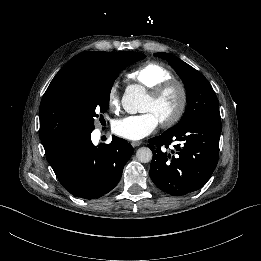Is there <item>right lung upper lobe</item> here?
I'll use <instances>...</instances> for the list:
<instances>
[{"label": "right lung upper lobe", "instance_id": "right-lung-upper-lobe-1", "mask_svg": "<svg viewBox=\"0 0 261 261\" xmlns=\"http://www.w3.org/2000/svg\"><path fill=\"white\" fill-rule=\"evenodd\" d=\"M121 52H83L69 60L48 86L40 104V133H50L61 142L77 136L81 112L76 96L80 78L115 63Z\"/></svg>", "mask_w": 261, "mask_h": 261}]
</instances>
